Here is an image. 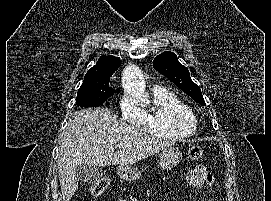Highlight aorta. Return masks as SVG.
<instances>
[{
    "mask_svg": "<svg viewBox=\"0 0 271 201\" xmlns=\"http://www.w3.org/2000/svg\"><path fill=\"white\" fill-rule=\"evenodd\" d=\"M123 82L125 89L131 93L133 97L140 100L145 105H149L150 101L145 89V83L136 67L129 66L124 70Z\"/></svg>",
    "mask_w": 271,
    "mask_h": 201,
    "instance_id": "obj_1",
    "label": "aorta"
}]
</instances>
